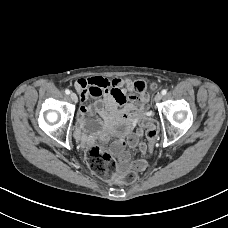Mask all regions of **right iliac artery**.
<instances>
[{
	"label": "right iliac artery",
	"instance_id": "obj_1",
	"mask_svg": "<svg viewBox=\"0 0 228 228\" xmlns=\"http://www.w3.org/2000/svg\"><path fill=\"white\" fill-rule=\"evenodd\" d=\"M65 93H66L67 95H69V94H70V90H69V89H66V90H65Z\"/></svg>",
	"mask_w": 228,
	"mask_h": 228
}]
</instances>
